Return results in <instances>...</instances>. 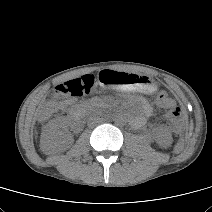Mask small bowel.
Returning <instances> with one entry per match:
<instances>
[{
    "label": "small bowel",
    "instance_id": "obj_1",
    "mask_svg": "<svg viewBox=\"0 0 212 212\" xmlns=\"http://www.w3.org/2000/svg\"><path fill=\"white\" fill-rule=\"evenodd\" d=\"M73 103H74L73 100H66V101L62 102L61 106L62 107H65V106L71 105ZM144 111H145V113H148L149 112V107L147 105H144Z\"/></svg>",
    "mask_w": 212,
    "mask_h": 212
}]
</instances>
